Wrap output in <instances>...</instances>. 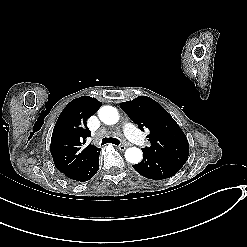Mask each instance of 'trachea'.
Here are the masks:
<instances>
[{
	"label": "trachea",
	"mask_w": 247,
	"mask_h": 247,
	"mask_svg": "<svg viewBox=\"0 0 247 247\" xmlns=\"http://www.w3.org/2000/svg\"><path fill=\"white\" fill-rule=\"evenodd\" d=\"M108 143H112L114 145H119L120 144V140L114 137H105L102 139L101 145H105Z\"/></svg>",
	"instance_id": "1"
}]
</instances>
